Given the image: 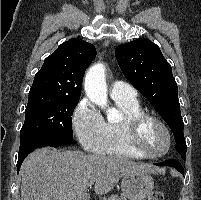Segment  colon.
<instances>
[{"label":"colon","mask_w":201,"mask_h":200,"mask_svg":"<svg viewBox=\"0 0 201 200\" xmlns=\"http://www.w3.org/2000/svg\"><path fill=\"white\" fill-rule=\"evenodd\" d=\"M148 200H165V195L161 191H153Z\"/></svg>","instance_id":"obj_1"}]
</instances>
